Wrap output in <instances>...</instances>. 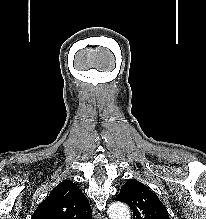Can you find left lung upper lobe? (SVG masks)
I'll use <instances>...</instances> for the list:
<instances>
[{"instance_id":"1","label":"left lung upper lobe","mask_w":206,"mask_h":219,"mask_svg":"<svg viewBox=\"0 0 206 219\" xmlns=\"http://www.w3.org/2000/svg\"><path fill=\"white\" fill-rule=\"evenodd\" d=\"M115 200L128 204L134 219H170L158 196L137 180L127 181Z\"/></svg>"}]
</instances>
